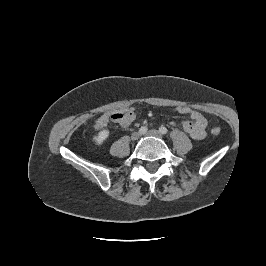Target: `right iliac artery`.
Wrapping results in <instances>:
<instances>
[{
    "instance_id": "1",
    "label": "right iliac artery",
    "mask_w": 266,
    "mask_h": 266,
    "mask_svg": "<svg viewBox=\"0 0 266 266\" xmlns=\"http://www.w3.org/2000/svg\"><path fill=\"white\" fill-rule=\"evenodd\" d=\"M147 127L146 126H142L140 129H139V132L140 134H145L147 132Z\"/></svg>"
}]
</instances>
